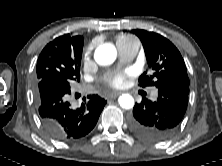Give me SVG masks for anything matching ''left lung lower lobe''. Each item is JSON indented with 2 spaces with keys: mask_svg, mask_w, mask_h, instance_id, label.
Listing matches in <instances>:
<instances>
[{
  "mask_svg": "<svg viewBox=\"0 0 222 166\" xmlns=\"http://www.w3.org/2000/svg\"><path fill=\"white\" fill-rule=\"evenodd\" d=\"M189 85L167 82L158 87L155 102L142 98L136 103L130 125L133 131L148 141L171 138L177 131L187 109Z\"/></svg>",
  "mask_w": 222,
  "mask_h": 166,
  "instance_id": "left-lung-lower-lobe-1",
  "label": "left lung lower lobe"
}]
</instances>
